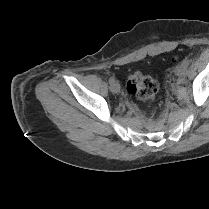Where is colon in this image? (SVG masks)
<instances>
[{
  "instance_id": "colon-1",
  "label": "colon",
  "mask_w": 209,
  "mask_h": 209,
  "mask_svg": "<svg viewBox=\"0 0 209 209\" xmlns=\"http://www.w3.org/2000/svg\"><path fill=\"white\" fill-rule=\"evenodd\" d=\"M126 89L139 100H153L158 92L159 83L150 76L134 72L127 78Z\"/></svg>"
}]
</instances>
